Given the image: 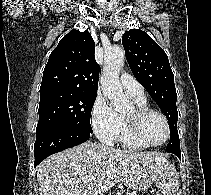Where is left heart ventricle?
Here are the masks:
<instances>
[{"instance_id": "1", "label": "left heart ventricle", "mask_w": 211, "mask_h": 195, "mask_svg": "<svg viewBox=\"0 0 211 195\" xmlns=\"http://www.w3.org/2000/svg\"><path fill=\"white\" fill-rule=\"evenodd\" d=\"M133 113L134 109L128 112L126 116H130ZM141 133L146 141L159 143L165 139L167 131L163 119L156 114H150L142 120Z\"/></svg>"}]
</instances>
